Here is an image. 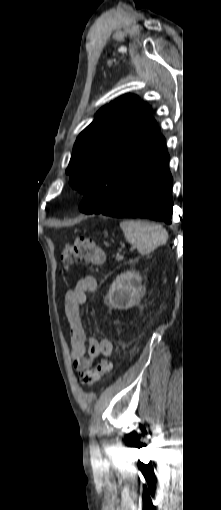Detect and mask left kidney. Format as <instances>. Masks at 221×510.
<instances>
[{
    "instance_id": "obj_1",
    "label": "left kidney",
    "mask_w": 221,
    "mask_h": 510,
    "mask_svg": "<svg viewBox=\"0 0 221 510\" xmlns=\"http://www.w3.org/2000/svg\"><path fill=\"white\" fill-rule=\"evenodd\" d=\"M139 273L128 271L116 277L104 302L117 309H128L138 300L143 292Z\"/></svg>"
}]
</instances>
